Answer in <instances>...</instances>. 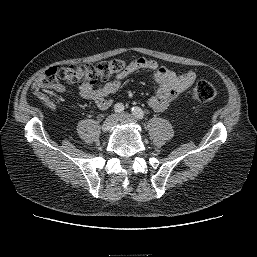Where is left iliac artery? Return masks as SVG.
Returning <instances> with one entry per match:
<instances>
[{"mask_svg": "<svg viewBox=\"0 0 257 257\" xmlns=\"http://www.w3.org/2000/svg\"><path fill=\"white\" fill-rule=\"evenodd\" d=\"M132 114L138 118V119H143L144 118V112L141 108L139 107H133L132 108Z\"/></svg>", "mask_w": 257, "mask_h": 257, "instance_id": "obj_1", "label": "left iliac artery"}]
</instances>
